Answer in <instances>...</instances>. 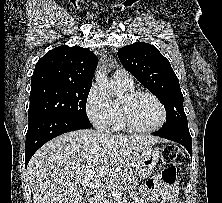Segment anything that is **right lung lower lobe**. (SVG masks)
Returning a JSON list of instances; mask_svg holds the SVG:
<instances>
[{
	"label": "right lung lower lobe",
	"instance_id": "1",
	"mask_svg": "<svg viewBox=\"0 0 222 203\" xmlns=\"http://www.w3.org/2000/svg\"><path fill=\"white\" fill-rule=\"evenodd\" d=\"M92 127L89 120L60 116H43L29 121L26 133L25 166L47 141L66 132Z\"/></svg>",
	"mask_w": 222,
	"mask_h": 203
}]
</instances>
